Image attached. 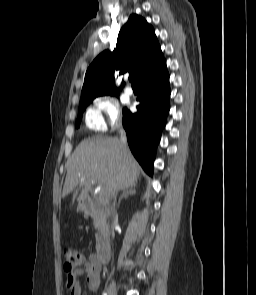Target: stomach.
<instances>
[{
  "label": "stomach",
  "mask_w": 256,
  "mask_h": 295,
  "mask_svg": "<svg viewBox=\"0 0 256 295\" xmlns=\"http://www.w3.org/2000/svg\"><path fill=\"white\" fill-rule=\"evenodd\" d=\"M78 211H83V208L82 207H78Z\"/></svg>",
  "instance_id": "stomach-1"
}]
</instances>
